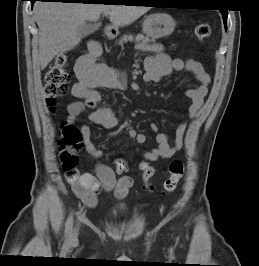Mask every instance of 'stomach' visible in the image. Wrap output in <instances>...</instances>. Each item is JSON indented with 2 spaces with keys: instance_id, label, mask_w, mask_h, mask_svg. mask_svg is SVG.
Here are the masks:
<instances>
[{
  "instance_id": "obj_1",
  "label": "stomach",
  "mask_w": 259,
  "mask_h": 266,
  "mask_svg": "<svg viewBox=\"0 0 259 266\" xmlns=\"http://www.w3.org/2000/svg\"><path fill=\"white\" fill-rule=\"evenodd\" d=\"M173 18L164 13L151 14L143 22V32L152 39L169 36L175 28Z\"/></svg>"
}]
</instances>
